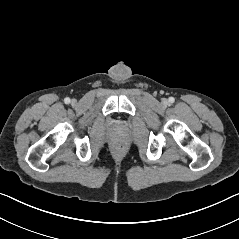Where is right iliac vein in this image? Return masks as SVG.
<instances>
[{"instance_id":"obj_1","label":"right iliac vein","mask_w":239,"mask_h":239,"mask_svg":"<svg viewBox=\"0 0 239 239\" xmlns=\"http://www.w3.org/2000/svg\"><path fill=\"white\" fill-rule=\"evenodd\" d=\"M72 103H75V100H72Z\"/></svg>"}]
</instances>
